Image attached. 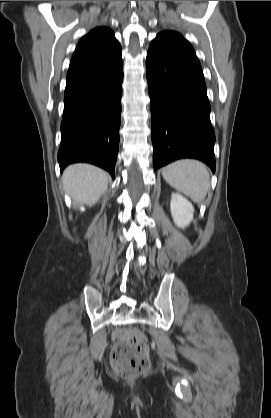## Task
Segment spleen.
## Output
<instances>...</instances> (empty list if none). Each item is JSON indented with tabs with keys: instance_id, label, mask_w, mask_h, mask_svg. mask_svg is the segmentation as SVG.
<instances>
[{
	"instance_id": "obj_1",
	"label": "spleen",
	"mask_w": 271,
	"mask_h": 418,
	"mask_svg": "<svg viewBox=\"0 0 271 418\" xmlns=\"http://www.w3.org/2000/svg\"><path fill=\"white\" fill-rule=\"evenodd\" d=\"M165 181L177 191L201 203L210 188L207 166L193 159H182L168 164L162 169Z\"/></svg>"
}]
</instances>
